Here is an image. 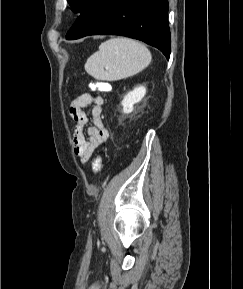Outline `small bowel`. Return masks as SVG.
Here are the masks:
<instances>
[{
	"label": "small bowel",
	"mask_w": 243,
	"mask_h": 289,
	"mask_svg": "<svg viewBox=\"0 0 243 289\" xmlns=\"http://www.w3.org/2000/svg\"><path fill=\"white\" fill-rule=\"evenodd\" d=\"M104 100L100 95L83 93L72 101L69 112L75 123L73 133L74 154L82 163L89 160L92 154L108 139L109 132L102 121ZM91 107L90 118L85 109ZM92 126L87 129V137L84 127L89 121Z\"/></svg>",
	"instance_id": "small-bowel-1"
}]
</instances>
